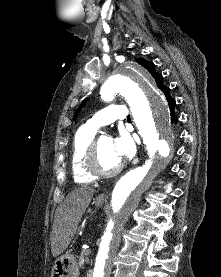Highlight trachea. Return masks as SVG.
Here are the masks:
<instances>
[{"instance_id": "obj_1", "label": "trachea", "mask_w": 221, "mask_h": 277, "mask_svg": "<svg viewBox=\"0 0 221 277\" xmlns=\"http://www.w3.org/2000/svg\"><path fill=\"white\" fill-rule=\"evenodd\" d=\"M127 120H131L130 115L127 117Z\"/></svg>"}]
</instances>
